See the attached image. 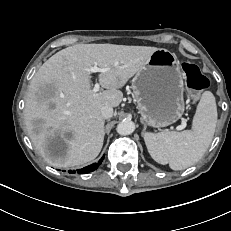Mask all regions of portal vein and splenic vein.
<instances>
[{
  "label": "portal vein and splenic vein",
  "mask_w": 231,
  "mask_h": 231,
  "mask_svg": "<svg viewBox=\"0 0 231 231\" xmlns=\"http://www.w3.org/2000/svg\"><path fill=\"white\" fill-rule=\"evenodd\" d=\"M108 70H109V68H99V67H97L96 65H94L93 67L90 68V71H91L92 73H96V72H107ZM99 89H100V85H99V83H96V84L94 85L93 92L96 93V92L99 91ZM180 129H181V128H178V130H180Z\"/></svg>",
  "instance_id": "18ae733b"
}]
</instances>
